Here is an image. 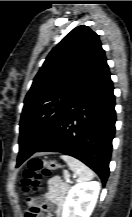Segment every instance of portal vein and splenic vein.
<instances>
[{
	"label": "portal vein and splenic vein",
	"instance_id": "obj_1",
	"mask_svg": "<svg viewBox=\"0 0 132 217\" xmlns=\"http://www.w3.org/2000/svg\"><path fill=\"white\" fill-rule=\"evenodd\" d=\"M64 177L66 182H70L69 174L65 173Z\"/></svg>",
	"mask_w": 132,
	"mask_h": 217
}]
</instances>
